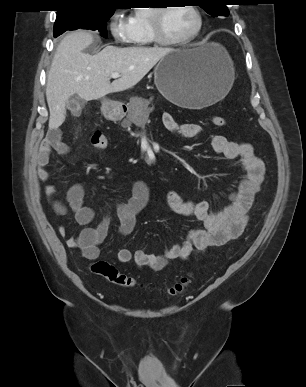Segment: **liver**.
<instances>
[{
    "label": "liver",
    "instance_id": "obj_1",
    "mask_svg": "<svg viewBox=\"0 0 306 387\" xmlns=\"http://www.w3.org/2000/svg\"><path fill=\"white\" fill-rule=\"evenodd\" d=\"M94 41L86 31L66 35L59 43L47 77L49 128L65 121L66 102L77 94L85 101L133 88L172 48L105 46L99 53H85ZM120 77L110 82L111 74Z\"/></svg>",
    "mask_w": 306,
    "mask_h": 387
}]
</instances>
